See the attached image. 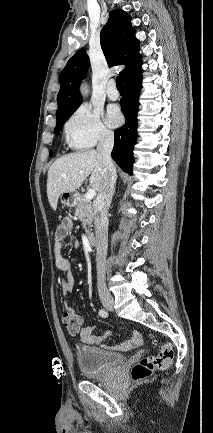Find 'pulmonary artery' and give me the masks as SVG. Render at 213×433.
<instances>
[{"mask_svg":"<svg viewBox=\"0 0 213 433\" xmlns=\"http://www.w3.org/2000/svg\"><path fill=\"white\" fill-rule=\"evenodd\" d=\"M106 94L109 99L116 100L119 97V92L116 89L115 82L113 80L109 81L107 84Z\"/></svg>","mask_w":213,"mask_h":433,"instance_id":"1","label":"pulmonary artery"}]
</instances>
